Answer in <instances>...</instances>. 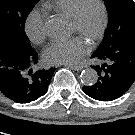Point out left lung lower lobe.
<instances>
[{
	"label": "left lung lower lobe",
	"instance_id": "left-lung-lower-lobe-1",
	"mask_svg": "<svg viewBox=\"0 0 135 135\" xmlns=\"http://www.w3.org/2000/svg\"><path fill=\"white\" fill-rule=\"evenodd\" d=\"M92 58L102 65L94 66L98 80L83 91L95 100L112 101L125 94L135 81V40H126Z\"/></svg>",
	"mask_w": 135,
	"mask_h": 135
}]
</instances>
